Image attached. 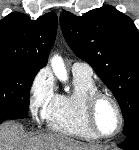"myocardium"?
I'll use <instances>...</instances> for the list:
<instances>
[{
  "mask_svg": "<svg viewBox=\"0 0 139 150\" xmlns=\"http://www.w3.org/2000/svg\"><path fill=\"white\" fill-rule=\"evenodd\" d=\"M102 99H107L113 104V106L116 110L117 116H118L117 129L113 134H110V135L101 133L95 122L96 107ZM85 118H86L87 124H88L89 128L91 129V131L98 138H102V139H112V138L116 137L117 135H119V133L121 132V130L123 128V124H124V117H123L122 109H121V106H120L118 100L112 94L107 93V92H102L99 90L88 96L86 103H85Z\"/></svg>",
  "mask_w": 139,
  "mask_h": 150,
  "instance_id": "1",
  "label": "myocardium"
}]
</instances>
